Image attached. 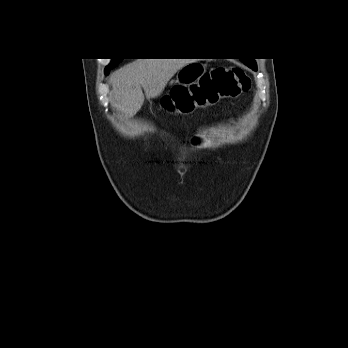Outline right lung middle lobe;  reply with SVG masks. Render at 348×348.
<instances>
[{
  "instance_id": "right-lung-middle-lobe-1",
  "label": "right lung middle lobe",
  "mask_w": 348,
  "mask_h": 348,
  "mask_svg": "<svg viewBox=\"0 0 348 348\" xmlns=\"http://www.w3.org/2000/svg\"><path fill=\"white\" fill-rule=\"evenodd\" d=\"M122 59H112L111 63L106 67L105 71L109 72L112 68L116 67Z\"/></svg>"
}]
</instances>
